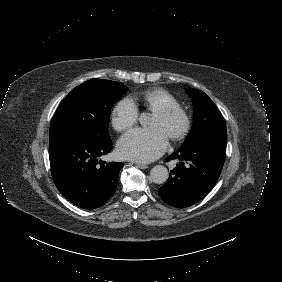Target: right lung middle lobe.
Here are the masks:
<instances>
[{
    "label": "right lung middle lobe",
    "instance_id": "1",
    "mask_svg": "<svg viewBox=\"0 0 282 282\" xmlns=\"http://www.w3.org/2000/svg\"><path fill=\"white\" fill-rule=\"evenodd\" d=\"M127 89L120 82L103 79H91L77 86L59 105L51 121L49 141L71 133L110 138V110Z\"/></svg>",
    "mask_w": 282,
    "mask_h": 282
}]
</instances>
